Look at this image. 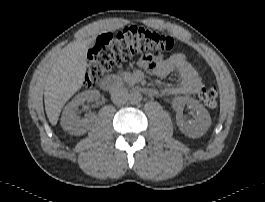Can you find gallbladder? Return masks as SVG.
Returning a JSON list of instances; mask_svg holds the SVG:
<instances>
[{
	"label": "gallbladder",
	"instance_id": "bac80fb5",
	"mask_svg": "<svg viewBox=\"0 0 265 202\" xmlns=\"http://www.w3.org/2000/svg\"><path fill=\"white\" fill-rule=\"evenodd\" d=\"M92 46H93V44H90V46H89V47L91 48Z\"/></svg>",
	"mask_w": 265,
	"mask_h": 202
}]
</instances>
